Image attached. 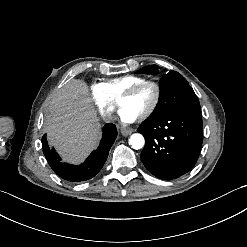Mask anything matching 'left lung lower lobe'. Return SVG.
I'll use <instances>...</instances> for the list:
<instances>
[{
	"mask_svg": "<svg viewBox=\"0 0 247 247\" xmlns=\"http://www.w3.org/2000/svg\"><path fill=\"white\" fill-rule=\"evenodd\" d=\"M137 131L146 141L141 160L154 176L172 180L189 172L195 165L203 141L200 112L176 110L144 121Z\"/></svg>",
	"mask_w": 247,
	"mask_h": 247,
	"instance_id": "1",
	"label": "left lung lower lobe"
}]
</instances>
